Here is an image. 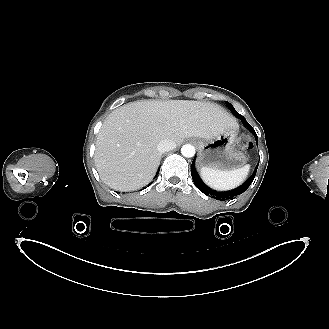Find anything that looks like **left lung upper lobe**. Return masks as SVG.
I'll return each mask as SVG.
<instances>
[{
    "label": "left lung upper lobe",
    "instance_id": "1",
    "mask_svg": "<svg viewBox=\"0 0 329 329\" xmlns=\"http://www.w3.org/2000/svg\"><path fill=\"white\" fill-rule=\"evenodd\" d=\"M226 105L229 107V109L231 110V112L239 119L243 118L242 115H240L235 109L234 107L229 103V102H226Z\"/></svg>",
    "mask_w": 329,
    "mask_h": 329
}]
</instances>
